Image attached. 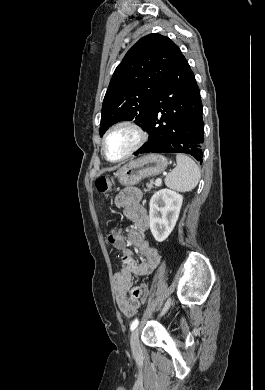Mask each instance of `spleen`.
<instances>
[{
    "label": "spleen",
    "instance_id": "1",
    "mask_svg": "<svg viewBox=\"0 0 265 390\" xmlns=\"http://www.w3.org/2000/svg\"><path fill=\"white\" fill-rule=\"evenodd\" d=\"M177 166L166 176L167 187L181 192L193 190L200 180V169L188 156L177 154Z\"/></svg>",
    "mask_w": 265,
    "mask_h": 390
}]
</instances>
